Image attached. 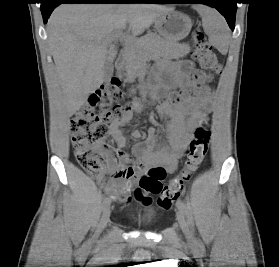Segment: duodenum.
<instances>
[{"label":"duodenum","mask_w":279,"mask_h":267,"mask_svg":"<svg viewBox=\"0 0 279 267\" xmlns=\"http://www.w3.org/2000/svg\"><path fill=\"white\" fill-rule=\"evenodd\" d=\"M125 70V63L122 60L117 61L116 63V71L119 75H121Z\"/></svg>","instance_id":"duodenum-1"}]
</instances>
